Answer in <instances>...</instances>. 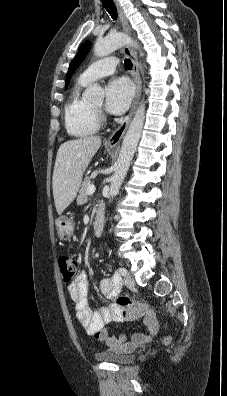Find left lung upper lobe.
Here are the masks:
<instances>
[{"instance_id": "5c2ea615", "label": "left lung upper lobe", "mask_w": 227, "mask_h": 396, "mask_svg": "<svg viewBox=\"0 0 227 396\" xmlns=\"http://www.w3.org/2000/svg\"><path fill=\"white\" fill-rule=\"evenodd\" d=\"M90 42H84L81 47L79 48V51L76 55V57L74 58V60L71 62L67 75H66V88L68 86V83L71 79L72 74L74 73L75 69L77 68V66L83 61V59L86 57L89 48H90Z\"/></svg>"}]
</instances>
